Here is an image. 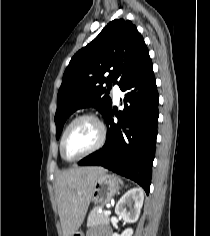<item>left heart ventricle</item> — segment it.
Masks as SVG:
<instances>
[{"instance_id": "b2bd125f", "label": "left heart ventricle", "mask_w": 210, "mask_h": 236, "mask_svg": "<svg viewBox=\"0 0 210 236\" xmlns=\"http://www.w3.org/2000/svg\"><path fill=\"white\" fill-rule=\"evenodd\" d=\"M99 129L95 122L84 119L76 122L68 131L63 152L66 158L72 159L90 149L98 140Z\"/></svg>"}]
</instances>
